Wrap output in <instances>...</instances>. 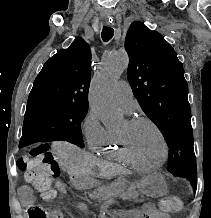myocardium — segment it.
Segmentation results:
<instances>
[{
  "instance_id": "obj_1",
  "label": "myocardium",
  "mask_w": 211,
  "mask_h": 218,
  "mask_svg": "<svg viewBox=\"0 0 211 218\" xmlns=\"http://www.w3.org/2000/svg\"><path fill=\"white\" fill-rule=\"evenodd\" d=\"M126 122L129 127H134L140 123H147L150 126H152L159 136L161 146H162V151H163L162 159L158 163L147 164V163L141 162L132 153L130 146H129L128 136L125 133L118 131L117 137L121 145V148L123 152L125 153V155L129 158L131 163L137 166H140L142 168H147V169H154L162 165L167 155V145H166L164 133L161 130V128L157 125V123L153 121L152 119L145 117V116H134V117L129 118Z\"/></svg>"
}]
</instances>
